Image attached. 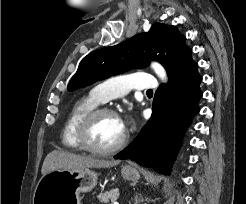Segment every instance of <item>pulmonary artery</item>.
I'll use <instances>...</instances> for the list:
<instances>
[{
	"mask_svg": "<svg viewBox=\"0 0 246 204\" xmlns=\"http://www.w3.org/2000/svg\"><path fill=\"white\" fill-rule=\"evenodd\" d=\"M157 87L156 79L144 72L120 75L109 78L93 88L91 94L99 103L122 97L129 91L150 90Z\"/></svg>",
	"mask_w": 246,
	"mask_h": 204,
	"instance_id": "pulmonary-artery-1",
	"label": "pulmonary artery"
}]
</instances>
